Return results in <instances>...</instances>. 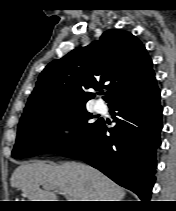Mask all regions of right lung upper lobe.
Returning a JSON list of instances; mask_svg holds the SVG:
<instances>
[{
  "instance_id": "obj_1",
  "label": "right lung upper lobe",
  "mask_w": 176,
  "mask_h": 211,
  "mask_svg": "<svg viewBox=\"0 0 176 211\" xmlns=\"http://www.w3.org/2000/svg\"><path fill=\"white\" fill-rule=\"evenodd\" d=\"M152 60L131 33L111 29L99 41L79 47L42 71L22 118L49 109L85 106L94 94L108 90V106L138 96L155 83Z\"/></svg>"
}]
</instances>
